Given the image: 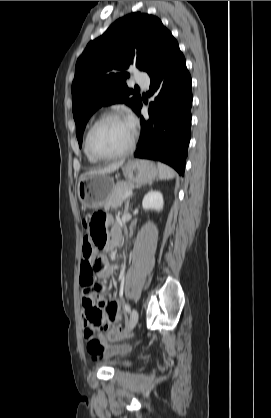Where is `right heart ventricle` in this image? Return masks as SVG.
<instances>
[{
	"mask_svg": "<svg viewBox=\"0 0 271 418\" xmlns=\"http://www.w3.org/2000/svg\"><path fill=\"white\" fill-rule=\"evenodd\" d=\"M84 152L86 154L87 159L91 162V163H97L99 160L93 158L86 150V147L84 146Z\"/></svg>",
	"mask_w": 271,
	"mask_h": 418,
	"instance_id": "1",
	"label": "right heart ventricle"
}]
</instances>
